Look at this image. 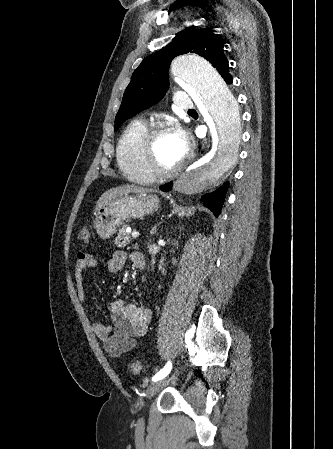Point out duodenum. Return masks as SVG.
I'll list each match as a JSON object with an SVG mask.
<instances>
[{
  "mask_svg": "<svg viewBox=\"0 0 333 449\" xmlns=\"http://www.w3.org/2000/svg\"><path fill=\"white\" fill-rule=\"evenodd\" d=\"M132 261L135 267L138 269H143L145 267L144 256L139 252L133 253Z\"/></svg>",
  "mask_w": 333,
  "mask_h": 449,
  "instance_id": "duodenum-1",
  "label": "duodenum"
}]
</instances>
